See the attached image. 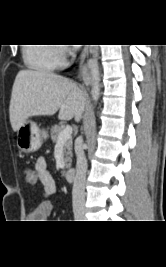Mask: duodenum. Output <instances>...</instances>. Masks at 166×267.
Returning <instances> with one entry per match:
<instances>
[{"label":"duodenum","mask_w":166,"mask_h":267,"mask_svg":"<svg viewBox=\"0 0 166 267\" xmlns=\"http://www.w3.org/2000/svg\"><path fill=\"white\" fill-rule=\"evenodd\" d=\"M76 177V170L74 168H69L65 172V179L67 181H73Z\"/></svg>","instance_id":"duodenum-1"}]
</instances>
